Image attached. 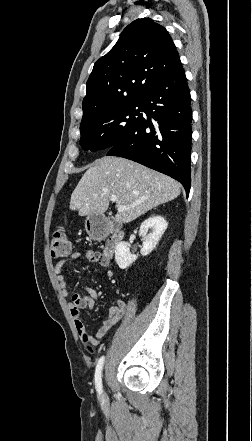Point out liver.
<instances>
[{
  "instance_id": "liver-1",
  "label": "liver",
  "mask_w": 252,
  "mask_h": 441,
  "mask_svg": "<svg viewBox=\"0 0 252 441\" xmlns=\"http://www.w3.org/2000/svg\"><path fill=\"white\" fill-rule=\"evenodd\" d=\"M181 185L162 173L121 157L98 159L82 176L70 199V209L80 216L101 215L116 196V207L127 209L115 215L129 223L147 211L180 195Z\"/></svg>"
}]
</instances>
